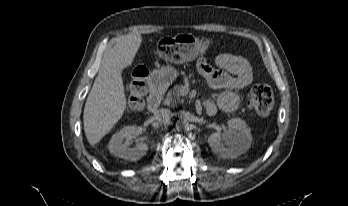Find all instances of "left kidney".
Here are the masks:
<instances>
[{
	"instance_id": "left-kidney-1",
	"label": "left kidney",
	"mask_w": 348,
	"mask_h": 206,
	"mask_svg": "<svg viewBox=\"0 0 348 206\" xmlns=\"http://www.w3.org/2000/svg\"><path fill=\"white\" fill-rule=\"evenodd\" d=\"M212 151L222 158H236L247 152L252 143V135L245 121L232 118L228 121V130L221 135L212 133L208 137Z\"/></svg>"
}]
</instances>
